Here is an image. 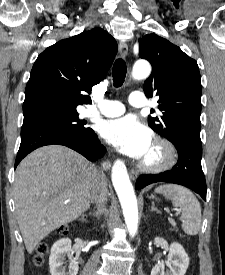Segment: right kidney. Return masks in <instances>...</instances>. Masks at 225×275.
Returning <instances> with one entry per match:
<instances>
[{
    "mask_svg": "<svg viewBox=\"0 0 225 275\" xmlns=\"http://www.w3.org/2000/svg\"><path fill=\"white\" fill-rule=\"evenodd\" d=\"M72 255L71 240L69 238H63L55 242L51 247L49 257L51 275H77L79 267L78 263L72 260ZM66 256L70 260L67 270L63 267Z\"/></svg>",
    "mask_w": 225,
    "mask_h": 275,
    "instance_id": "ca27d5eb",
    "label": "right kidney"
}]
</instances>
